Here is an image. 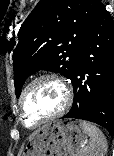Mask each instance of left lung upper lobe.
Wrapping results in <instances>:
<instances>
[{
  "instance_id": "1",
  "label": "left lung upper lobe",
  "mask_w": 114,
  "mask_h": 156,
  "mask_svg": "<svg viewBox=\"0 0 114 156\" xmlns=\"http://www.w3.org/2000/svg\"><path fill=\"white\" fill-rule=\"evenodd\" d=\"M99 0H40L22 24L13 51L15 92L28 76L58 72L72 79L77 55Z\"/></svg>"
}]
</instances>
